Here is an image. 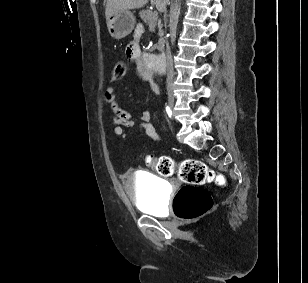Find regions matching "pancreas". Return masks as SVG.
<instances>
[{"instance_id":"obj_1","label":"pancreas","mask_w":308,"mask_h":283,"mask_svg":"<svg viewBox=\"0 0 308 283\" xmlns=\"http://www.w3.org/2000/svg\"><path fill=\"white\" fill-rule=\"evenodd\" d=\"M141 19L149 25L150 28H154L156 25L158 26L160 32H162V24L161 21L158 20L157 13L152 12L150 10H142L140 11ZM158 49L162 51L164 49V38H161L158 43Z\"/></svg>"}]
</instances>
